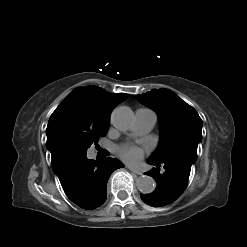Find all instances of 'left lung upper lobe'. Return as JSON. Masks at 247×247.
<instances>
[{"instance_id": "left-lung-upper-lobe-1", "label": "left lung upper lobe", "mask_w": 247, "mask_h": 247, "mask_svg": "<svg viewBox=\"0 0 247 247\" xmlns=\"http://www.w3.org/2000/svg\"><path fill=\"white\" fill-rule=\"evenodd\" d=\"M136 98L159 117L160 142L150 157L155 162L181 160L189 165L197 159L202 140V120L197 111L169 89L151 90Z\"/></svg>"}]
</instances>
